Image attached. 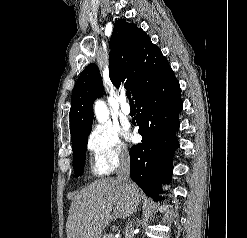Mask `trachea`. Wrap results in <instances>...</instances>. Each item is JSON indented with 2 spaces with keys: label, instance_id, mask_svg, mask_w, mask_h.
I'll return each instance as SVG.
<instances>
[{
  "label": "trachea",
  "instance_id": "3493384b",
  "mask_svg": "<svg viewBox=\"0 0 247 238\" xmlns=\"http://www.w3.org/2000/svg\"><path fill=\"white\" fill-rule=\"evenodd\" d=\"M126 96L129 99L130 103H132V99H131V92L130 91H126Z\"/></svg>",
  "mask_w": 247,
  "mask_h": 238
}]
</instances>
